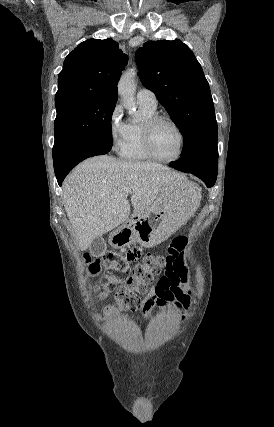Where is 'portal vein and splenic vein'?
I'll use <instances>...</instances> for the list:
<instances>
[{"mask_svg":"<svg viewBox=\"0 0 274 427\" xmlns=\"http://www.w3.org/2000/svg\"><path fill=\"white\" fill-rule=\"evenodd\" d=\"M129 194H130V190H124L123 196H129Z\"/></svg>","mask_w":274,"mask_h":427,"instance_id":"portal-vein-and-splenic-vein-1","label":"portal vein and splenic vein"}]
</instances>
